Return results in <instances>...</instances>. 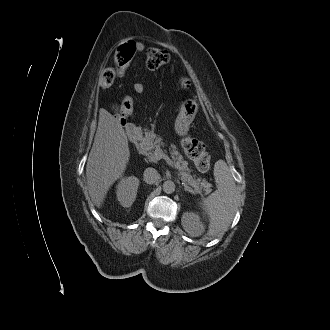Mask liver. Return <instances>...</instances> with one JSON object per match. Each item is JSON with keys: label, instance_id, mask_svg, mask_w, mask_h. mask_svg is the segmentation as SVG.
Returning <instances> with one entry per match:
<instances>
[{"label": "liver", "instance_id": "obj_1", "mask_svg": "<svg viewBox=\"0 0 330 330\" xmlns=\"http://www.w3.org/2000/svg\"><path fill=\"white\" fill-rule=\"evenodd\" d=\"M128 139L119 120L100 109L98 127L86 165L88 192L100 208L109 187L123 174L129 161Z\"/></svg>", "mask_w": 330, "mask_h": 330}]
</instances>
